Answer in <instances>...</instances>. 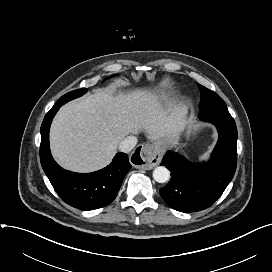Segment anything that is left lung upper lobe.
<instances>
[{
	"mask_svg": "<svg viewBox=\"0 0 272 272\" xmlns=\"http://www.w3.org/2000/svg\"><path fill=\"white\" fill-rule=\"evenodd\" d=\"M198 87L201 92V102L199 106L201 111L216 107H227L226 103L218 94L200 84H198Z\"/></svg>",
	"mask_w": 272,
	"mask_h": 272,
	"instance_id": "5c2ea615",
	"label": "left lung upper lobe"
}]
</instances>
